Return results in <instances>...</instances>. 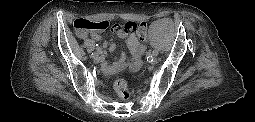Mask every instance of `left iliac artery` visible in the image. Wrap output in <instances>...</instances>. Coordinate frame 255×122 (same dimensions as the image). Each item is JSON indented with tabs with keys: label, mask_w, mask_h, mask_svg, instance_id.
Returning <instances> with one entry per match:
<instances>
[{
	"label": "left iliac artery",
	"mask_w": 255,
	"mask_h": 122,
	"mask_svg": "<svg viewBox=\"0 0 255 122\" xmlns=\"http://www.w3.org/2000/svg\"><path fill=\"white\" fill-rule=\"evenodd\" d=\"M152 54H153L154 56H158L159 53H158L157 50H153V51H152Z\"/></svg>",
	"instance_id": "obj_1"
}]
</instances>
